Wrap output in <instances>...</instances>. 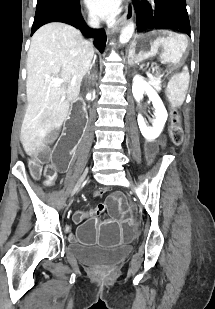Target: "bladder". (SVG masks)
<instances>
[{
	"mask_svg": "<svg viewBox=\"0 0 215 309\" xmlns=\"http://www.w3.org/2000/svg\"><path fill=\"white\" fill-rule=\"evenodd\" d=\"M69 251L80 263L98 267L116 265L121 262L128 253V250L124 247L98 248L76 244H70Z\"/></svg>",
	"mask_w": 215,
	"mask_h": 309,
	"instance_id": "bladder-1",
	"label": "bladder"
}]
</instances>
